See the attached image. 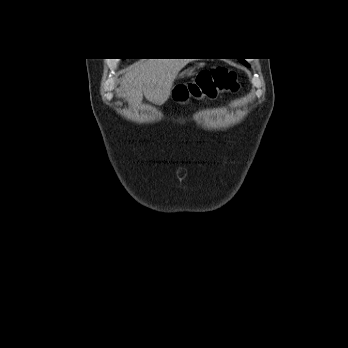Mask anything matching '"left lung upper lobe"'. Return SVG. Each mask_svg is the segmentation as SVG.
<instances>
[{"mask_svg":"<svg viewBox=\"0 0 348 348\" xmlns=\"http://www.w3.org/2000/svg\"><path fill=\"white\" fill-rule=\"evenodd\" d=\"M240 62H242L244 65L248 66V63L246 61H244V59H239Z\"/></svg>","mask_w":348,"mask_h":348,"instance_id":"obj_1","label":"left lung upper lobe"}]
</instances>
